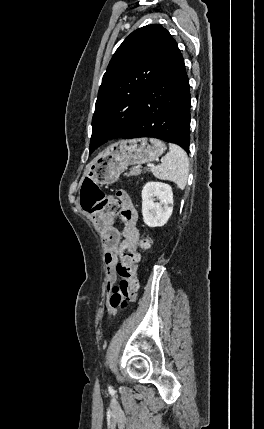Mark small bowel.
Wrapping results in <instances>:
<instances>
[{
  "label": "small bowel",
  "instance_id": "1",
  "mask_svg": "<svg viewBox=\"0 0 264 429\" xmlns=\"http://www.w3.org/2000/svg\"><path fill=\"white\" fill-rule=\"evenodd\" d=\"M116 197L121 204L122 217L125 222L122 231L111 225V218L99 213L90 214L94 225L102 232L106 275L108 283L116 280L115 266L119 256L135 250L139 243V231L136 227L137 210L130 195L125 190H118Z\"/></svg>",
  "mask_w": 264,
  "mask_h": 429
}]
</instances>
